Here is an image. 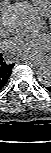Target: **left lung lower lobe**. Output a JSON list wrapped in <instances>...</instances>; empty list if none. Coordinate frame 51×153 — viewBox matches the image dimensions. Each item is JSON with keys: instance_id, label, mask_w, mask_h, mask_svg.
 Here are the masks:
<instances>
[{"instance_id": "1", "label": "left lung lower lobe", "mask_w": 51, "mask_h": 153, "mask_svg": "<svg viewBox=\"0 0 51 153\" xmlns=\"http://www.w3.org/2000/svg\"><path fill=\"white\" fill-rule=\"evenodd\" d=\"M47 90H49L51 92V86L46 88Z\"/></svg>"}]
</instances>
